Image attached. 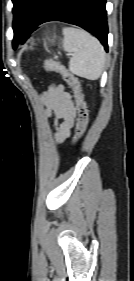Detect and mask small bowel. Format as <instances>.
<instances>
[{
    "label": "small bowel",
    "instance_id": "obj_1",
    "mask_svg": "<svg viewBox=\"0 0 134 281\" xmlns=\"http://www.w3.org/2000/svg\"><path fill=\"white\" fill-rule=\"evenodd\" d=\"M46 115L53 119L57 142L65 140L75 124L74 102L62 85L51 86L43 95Z\"/></svg>",
    "mask_w": 134,
    "mask_h": 281
}]
</instances>
